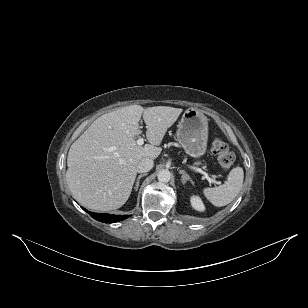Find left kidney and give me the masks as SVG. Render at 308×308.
<instances>
[{"label": "left kidney", "instance_id": "5707ae66", "mask_svg": "<svg viewBox=\"0 0 308 308\" xmlns=\"http://www.w3.org/2000/svg\"><path fill=\"white\" fill-rule=\"evenodd\" d=\"M191 201V205L195 210L198 211H204L205 210V206L202 202V200L198 197V196H192L190 198Z\"/></svg>", "mask_w": 308, "mask_h": 308}]
</instances>
